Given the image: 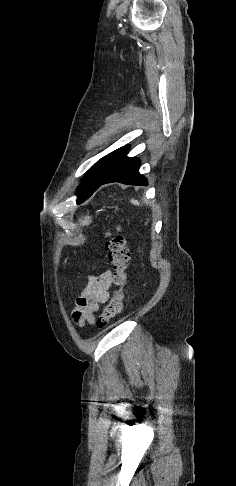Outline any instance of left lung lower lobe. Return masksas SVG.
<instances>
[{
  "mask_svg": "<svg viewBox=\"0 0 236 486\" xmlns=\"http://www.w3.org/2000/svg\"><path fill=\"white\" fill-rule=\"evenodd\" d=\"M127 154V153H126ZM126 154L118 161L107 177L100 183L121 182L130 185H146L147 179L139 173L140 160Z\"/></svg>",
  "mask_w": 236,
  "mask_h": 486,
  "instance_id": "obj_1",
  "label": "left lung lower lobe"
}]
</instances>
